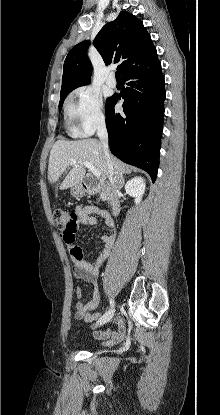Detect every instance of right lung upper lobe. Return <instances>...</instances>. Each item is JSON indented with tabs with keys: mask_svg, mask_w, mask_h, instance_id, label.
I'll return each mask as SVG.
<instances>
[{
	"mask_svg": "<svg viewBox=\"0 0 220 415\" xmlns=\"http://www.w3.org/2000/svg\"><path fill=\"white\" fill-rule=\"evenodd\" d=\"M89 45L90 41H83L68 53L60 94L90 83L92 66L87 56ZM94 46L105 64L120 63L118 69L122 76L143 69L158 59L143 23L125 11L103 26L94 39Z\"/></svg>",
	"mask_w": 220,
	"mask_h": 415,
	"instance_id": "obj_1",
	"label": "right lung upper lobe"
}]
</instances>
